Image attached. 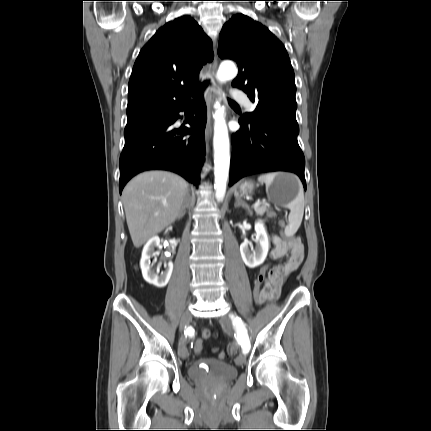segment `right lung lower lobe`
I'll list each match as a JSON object with an SVG mask.
<instances>
[{
	"label": "right lung lower lobe",
	"mask_w": 431,
	"mask_h": 431,
	"mask_svg": "<svg viewBox=\"0 0 431 431\" xmlns=\"http://www.w3.org/2000/svg\"><path fill=\"white\" fill-rule=\"evenodd\" d=\"M191 101L165 112L127 121L125 145L120 155L119 190L136 174L146 170L175 172L197 185L204 158L206 106L189 122L191 128H174L179 112H189ZM191 134L189 138L184 135Z\"/></svg>",
	"instance_id": "obj_1"
}]
</instances>
